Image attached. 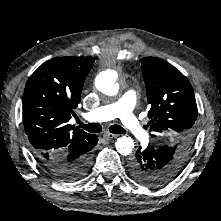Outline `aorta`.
Here are the masks:
<instances>
[{
  "label": "aorta",
  "mask_w": 221,
  "mask_h": 221,
  "mask_svg": "<svg viewBox=\"0 0 221 221\" xmlns=\"http://www.w3.org/2000/svg\"><path fill=\"white\" fill-rule=\"evenodd\" d=\"M118 74L114 70L101 72L95 80L98 90L108 96H115L119 91ZM116 150L121 155H129L134 149V141L131 137H119L115 143Z\"/></svg>",
  "instance_id": "obj_1"
}]
</instances>
